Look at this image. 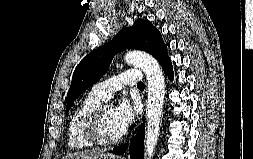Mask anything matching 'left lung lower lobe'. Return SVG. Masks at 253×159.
Listing matches in <instances>:
<instances>
[{
	"instance_id": "left-lung-lower-lobe-1",
	"label": "left lung lower lobe",
	"mask_w": 253,
	"mask_h": 159,
	"mask_svg": "<svg viewBox=\"0 0 253 159\" xmlns=\"http://www.w3.org/2000/svg\"><path fill=\"white\" fill-rule=\"evenodd\" d=\"M162 68L164 69L165 74L172 80L173 78V68L168 58L163 64ZM144 134H145V125H141L135 138L132 140L129 146V154L131 159H143L144 156ZM128 149V144L119 146L113 149L117 154H123Z\"/></svg>"
}]
</instances>
